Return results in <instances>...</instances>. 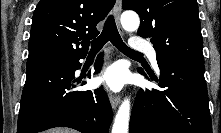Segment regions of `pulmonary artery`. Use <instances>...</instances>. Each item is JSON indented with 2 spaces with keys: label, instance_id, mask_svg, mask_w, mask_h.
Listing matches in <instances>:
<instances>
[{
  "label": "pulmonary artery",
  "instance_id": "obj_1",
  "mask_svg": "<svg viewBox=\"0 0 221 133\" xmlns=\"http://www.w3.org/2000/svg\"><path fill=\"white\" fill-rule=\"evenodd\" d=\"M130 48L134 51H143L149 57V60L154 65V67L158 70L156 51L151 44L146 41H143L139 38H135L130 42Z\"/></svg>",
  "mask_w": 221,
  "mask_h": 133
}]
</instances>
